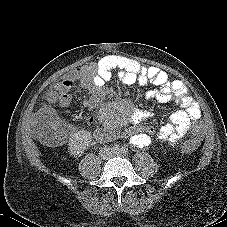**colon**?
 Masks as SVG:
<instances>
[{
  "instance_id": "5ec220e1",
  "label": "colon",
  "mask_w": 227,
  "mask_h": 227,
  "mask_svg": "<svg viewBox=\"0 0 227 227\" xmlns=\"http://www.w3.org/2000/svg\"><path fill=\"white\" fill-rule=\"evenodd\" d=\"M45 99L49 103H55L61 101L62 94L58 85H52L44 95ZM38 140L45 146H56L62 144L67 136L66 125L57 119L50 118L49 120L42 121L37 126ZM196 141L192 140L184 144L181 147L180 152L184 156L192 155L195 153Z\"/></svg>"
}]
</instances>
